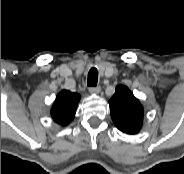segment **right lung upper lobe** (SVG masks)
Returning <instances> with one entry per match:
<instances>
[{
	"label": "right lung upper lobe",
	"mask_w": 184,
	"mask_h": 174,
	"mask_svg": "<svg viewBox=\"0 0 184 174\" xmlns=\"http://www.w3.org/2000/svg\"><path fill=\"white\" fill-rule=\"evenodd\" d=\"M79 100L80 95L77 93H72L68 90H62L58 93L51 108L53 120L62 126L69 124L75 117Z\"/></svg>",
	"instance_id": "right-lung-upper-lobe-1"
}]
</instances>
